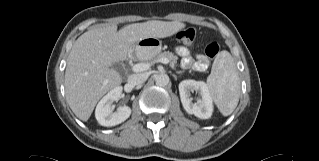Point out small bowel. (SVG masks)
Wrapping results in <instances>:
<instances>
[{"label":"small bowel","instance_id":"small-bowel-1","mask_svg":"<svg viewBox=\"0 0 319 161\" xmlns=\"http://www.w3.org/2000/svg\"><path fill=\"white\" fill-rule=\"evenodd\" d=\"M177 54L181 57L180 66L183 69L205 70L208 62L201 55H197L195 60L191 56L190 50L187 47L180 46L176 49Z\"/></svg>","mask_w":319,"mask_h":161}]
</instances>
